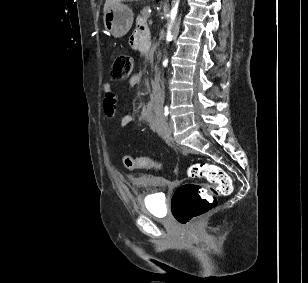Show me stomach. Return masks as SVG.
I'll use <instances>...</instances> for the list:
<instances>
[{"label":"stomach","mask_w":308,"mask_h":283,"mask_svg":"<svg viewBox=\"0 0 308 283\" xmlns=\"http://www.w3.org/2000/svg\"><path fill=\"white\" fill-rule=\"evenodd\" d=\"M132 10L122 4H116L104 13V27L115 38L123 37L130 30L133 23Z\"/></svg>","instance_id":"obj_1"}]
</instances>
